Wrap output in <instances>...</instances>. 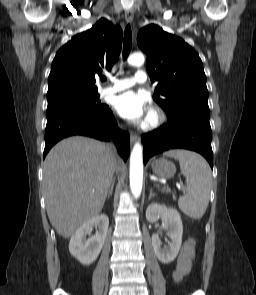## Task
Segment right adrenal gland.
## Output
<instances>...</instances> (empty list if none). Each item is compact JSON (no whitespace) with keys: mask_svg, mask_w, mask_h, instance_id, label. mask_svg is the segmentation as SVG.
I'll list each match as a JSON object with an SVG mask.
<instances>
[{"mask_svg":"<svg viewBox=\"0 0 256 295\" xmlns=\"http://www.w3.org/2000/svg\"><path fill=\"white\" fill-rule=\"evenodd\" d=\"M114 184H115V177L113 178L112 183H111V185H110V189H109V191H108L107 198H109L110 195L113 194Z\"/></svg>","mask_w":256,"mask_h":295,"instance_id":"right-adrenal-gland-1","label":"right adrenal gland"}]
</instances>
